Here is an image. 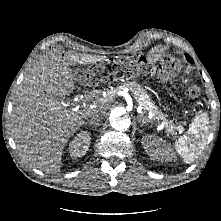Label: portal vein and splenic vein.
I'll return each instance as SVG.
<instances>
[{
    "instance_id": "obj_1",
    "label": "portal vein and splenic vein",
    "mask_w": 221,
    "mask_h": 221,
    "mask_svg": "<svg viewBox=\"0 0 221 221\" xmlns=\"http://www.w3.org/2000/svg\"><path fill=\"white\" fill-rule=\"evenodd\" d=\"M138 103H139V102H138ZM139 104H140V103H139ZM76 109H78V108H76ZM142 109H144V108H143V106L140 104L139 107H138V111L141 112ZM153 117H154V116H153V113H152V112H149V118H153ZM164 125H165L164 122H162V123H161V127H164ZM171 128L178 130L179 133H182V132L184 131V128H181V127L175 126V125H172Z\"/></svg>"
}]
</instances>
